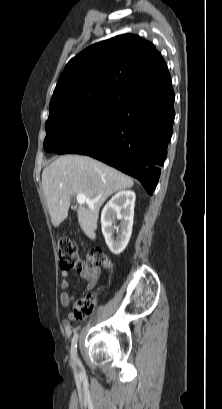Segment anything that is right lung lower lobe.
I'll return each instance as SVG.
<instances>
[{
  "label": "right lung lower lobe",
  "mask_w": 222,
  "mask_h": 409,
  "mask_svg": "<svg viewBox=\"0 0 222 409\" xmlns=\"http://www.w3.org/2000/svg\"><path fill=\"white\" fill-rule=\"evenodd\" d=\"M171 83L170 74L164 78ZM175 118L174 91L120 103L102 145L87 155L138 179L149 195L159 180Z\"/></svg>",
  "instance_id": "obj_1"
}]
</instances>
